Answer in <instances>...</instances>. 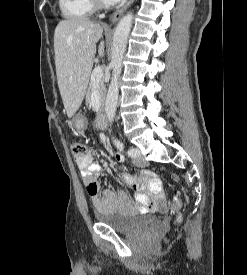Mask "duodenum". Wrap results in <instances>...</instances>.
I'll list each match as a JSON object with an SVG mask.
<instances>
[{
    "label": "duodenum",
    "mask_w": 247,
    "mask_h": 275,
    "mask_svg": "<svg viewBox=\"0 0 247 275\" xmlns=\"http://www.w3.org/2000/svg\"><path fill=\"white\" fill-rule=\"evenodd\" d=\"M107 125V117L104 111H100L96 118V126L99 129H105Z\"/></svg>",
    "instance_id": "obj_1"
}]
</instances>
